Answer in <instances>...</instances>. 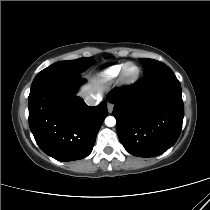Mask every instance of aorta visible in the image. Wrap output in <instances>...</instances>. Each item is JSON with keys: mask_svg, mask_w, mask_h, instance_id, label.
Wrapping results in <instances>:
<instances>
[{"mask_svg": "<svg viewBox=\"0 0 210 210\" xmlns=\"http://www.w3.org/2000/svg\"><path fill=\"white\" fill-rule=\"evenodd\" d=\"M105 124L108 127H113L116 124V119L113 116H108L105 119Z\"/></svg>", "mask_w": 210, "mask_h": 210, "instance_id": "762f6f07", "label": "aorta"}]
</instances>
